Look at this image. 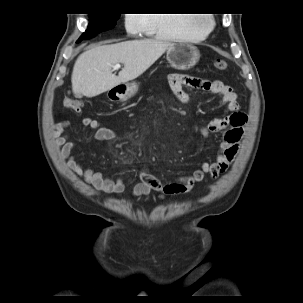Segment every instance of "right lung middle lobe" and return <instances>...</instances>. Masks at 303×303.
<instances>
[{"label":"right lung middle lobe","mask_w":303,"mask_h":303,"mask_svg":"<svg viewBox=\"0 0 303 303\" xmlns=\"http://www.w3.org/2000/svg\"><path fill=\"white\" fill-rule=\"evenodd\" d=\"M119 17L120 14L118 13L90 14L88 29L81 35L77 43L92 38L100 32L112 29L116 25V21Z\"/></svg>","instance_id":"obj_1"}]
</instances>
